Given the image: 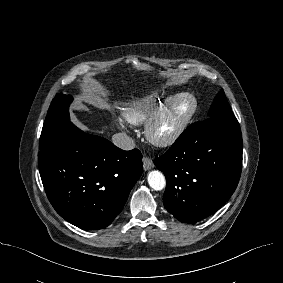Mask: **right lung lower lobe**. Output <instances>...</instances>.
Returning <instances> with one entry per match:
<instances>
[{
  "label": "right lung lower lobe",
  "mask_w": 283,
  "mask_h": 283,
  "mask_svg": "<svg viewBox=\"0 0 283 283\" xmlns=\"http://www.w3.org/2000/svg\"><path fill=\"white\" fill-rule=\"evenodd\" d=\"M47 197L71 224L87 230L107 227L122 211L143 165L138 149L124 151L72 123L38 154Z\"/></svg>",
  "instance_id": "1"
}]
</instances>
